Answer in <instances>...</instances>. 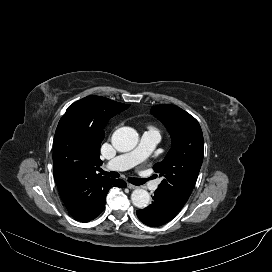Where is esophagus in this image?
Segmentation results:
<instances>
[{"mask_svg":"<svg viewBox=\"0 0 272 272\" xmlns=\"http://www.w3.org/2000/svg\"><path fill=\"white\" fill-rule=\"evenodd\" d=\"M127 187H128L129 189H137V188H138V186L133 185V184H131V183H127Z\"/></svg>","mask_w":272,"mask_h":272,"instance_id":"esophagus-1","label":"esophagus"}]
</instances>
